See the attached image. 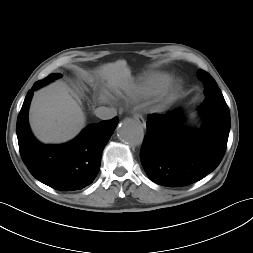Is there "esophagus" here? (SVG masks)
<instances>
[{
  "mask_svg": "<svg viewBox=\"0 0 253 253\" xmlns=\"http://www.w3.org/2000/svg\"><path fill=\"white\" fill-rule=\"evenodd\" d=\"M133 117L137 122H139L141 125L145 126V121H144V118L141 114L135 113Z\"/></svg>",
  "mask_w": 253,
  "mask_h": 253,
  "instance_id": "34e87169",
  "label": "esophagus"
}]
</instances>
